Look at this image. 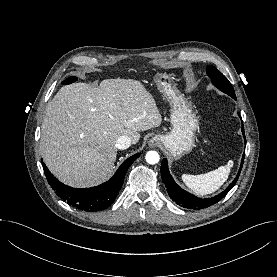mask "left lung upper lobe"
<instances>
[{
    "label": "left lung upper lobe",
    "instance_id": "left-lung-upper-lobe-1",
    "mask_svg": "<svg viewBox=\"0 0 277 277\" xmlns=\"http://www.w3.org/2000/svg\"><path fill=\"white\" fill-rule=\"evenodd\" d=\"M208 76L211 78L212 83L222 92L228 94L236 100L234 89L228 79L219 72L215 67L208 66L206 69Z\"/></svg>",
    "mask_w": 277,
    "mask_h": 277
}]
</instances>
